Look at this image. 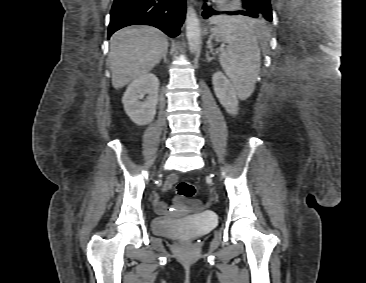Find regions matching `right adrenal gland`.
Masks as SVG:
<instances>
[{"mask_svg":"<svg viewBox=\"0 0 366 283\" xmlns=\"http://www.w3.org/2000/svg\"><path fill=\"white\" fill-rule=\"evenodd\" d=\"M167 51L162 55V58L161 59H163V61L166 63L167 62Z\"/></svg>","mask_w":366,"mask_h":283,"instance_id":"obj_1","label":"right adrenal gland"}]
</instances>
